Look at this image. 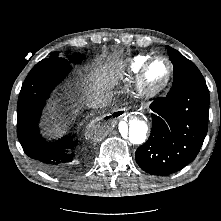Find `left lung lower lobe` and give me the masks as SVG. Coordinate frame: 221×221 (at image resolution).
<instances>
[{"label":"left lung lower lobe","mask_w":221,"mask_h":221,"mask_svg":"<svg viewBox=\"0 0 221 221\" xmlns=\"http://www.w3.org/2000/svg\"><path fill=\"white\" fill-rule=\"evenodd\" d=\"M153 111L150 137L135 153L142 170L169 175L195 159L208 130L209 91L207 85L168 93L150 105Z\"/></svg>","instance_id":"obj_1"}]
</instances>
